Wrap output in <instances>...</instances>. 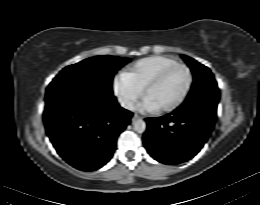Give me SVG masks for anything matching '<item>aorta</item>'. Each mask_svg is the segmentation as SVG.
I'll return each instance as SVG.
<instances>
[{"label": "aorta", "mask_w": 260, "mask_h": 205, "mask_svg": "<svg viewBox=\"0 0 260 205\" xmlns=\"http://www.w3.org/2000/svg\"><path fill=\"white\" fill-rule=\"evenodd\" d=\"M133 126L138 133H143L146 130V123L142 119L135 120Z\"/></svg>", "instance_id": "1"}]
</instances>
